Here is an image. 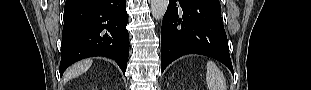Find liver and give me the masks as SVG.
Here are the masks:
<instances>
[{
    "instance_id": "1",
    "label": "liver",
    "mask_w": 311,
    "mask_h": 90,
    "mask_svg": "<svg viewBox=\"0 0 311 90\" xmlns=\"http://www.w3.org/2000/svg\"><path fill=\"white\" fill-rule=\"evenodd\" d=\"M92 63H93L92 59H86L74 64L67 71L66 78L71 79L86 72L91 67Z\"/></svg>"
}]
</instances>
